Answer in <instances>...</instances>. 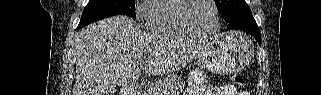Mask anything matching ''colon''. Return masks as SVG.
I'll return each mask as SVG.
<instances>
[{
	"mask_svg": "<svg viewBox=\"0 0 321 95\" xmlns=\"http://www.w3.org/2000/svg\"><path fill=\"white\" fill-rule=\"evenodd\" d=\"M232 81L234 84H236L238 86H242L245 83V78L241 74H235L232 76Z\"/></svg>",
	"mask_w": 321,
	"mask_h": 95,
	"instance_id": "colon-1",
	"label": "colon"
}]
</instances>
